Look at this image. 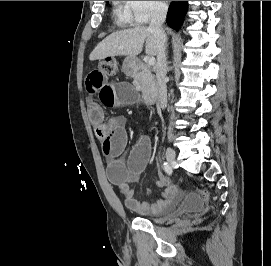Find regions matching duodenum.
<instances>
[{
    "label": "duodenum",
    "mask_w": 271,
    "mask_h": 266,
    "mask_svg": "<svg viewBox=\"0 0 271 266\" xmlns=\"http://www.w3.org/2000/svg\"><path fill=\"white\" fill-rule=\"evenodd\" d=\"M127 72L137 79H145L147 81L143 89L144 102L148 105L153 104L158 97V84L154 82L149 71L138 59H131L128 62Z\"/></svg>",
    "instance_id": "1"
}]
</instances>
